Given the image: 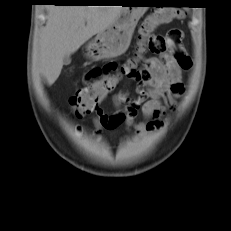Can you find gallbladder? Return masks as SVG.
I'll return each instance as SVG.
<instances>
[{
    "instance_id": "1",
    "label": "gallbladder",
    "mask_w": 231,
    "mask_h": 231,
    "mask_svg": "<svg viewBox=\"0 0 231 231\" xmlns=\"http://www.w3.org/2000/svg\"><path fill=\"white\" fill-rule=\"evenodd\" d=\"M71 63V58H70V56H65L64 58H63V64L64 65H69Z\"/></svg>"
}]
</instances>
